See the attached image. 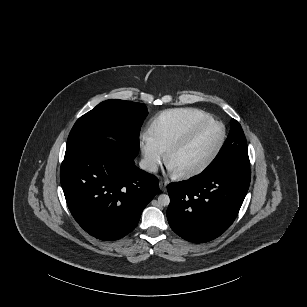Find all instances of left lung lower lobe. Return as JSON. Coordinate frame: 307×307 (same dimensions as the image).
<instances>
[{
  "mask_svg": "<svg viewBox=\"0 0 307 307\" xmlns=\"http://www.w3.org/2000/svg\"><path fill=\"white\" fill-rule=\"evenodd\" d=\"M250 184V169L223 166L188 181L171 183L167 218L183 239L203 243L225 232L235 220Z\"/></svg>",
  "mask_w": 307,
  "mask_h": 307,
  "instance_id": "obj_1",
  "label": "left lung lower lobe"
}]
</instances>
